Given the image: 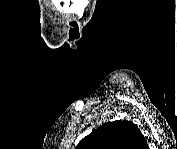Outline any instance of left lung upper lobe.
I'll list each match as a JSON object with an SVG mask.
<instances>
[{"mask_svg": "<svg viewBox=\"0 0 177 149\" xmlns=\"http://www.w3.org/2000/svg\"><path fill=\"white\" fill-rule=\"evenodd\" d=\"M147 142L136 124L113 121L103 124L83 138L77 149H146Z\"/></svg>", "mask_w": 177, "mask_h": 149, "instance_id": "5c2ea615", "label": "left lung upper lobe"}]
</instances>
